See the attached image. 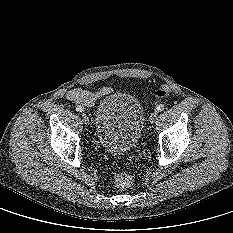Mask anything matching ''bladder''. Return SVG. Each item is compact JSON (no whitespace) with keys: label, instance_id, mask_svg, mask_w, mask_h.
Instances as JSON below:
<instances>
[{"label":"bladder","instance_id":"1","mask_svg":"<svg viewBox=\"0 0 233 233\" xmlns=\"http://www.w3.org/2000/svg\"><path fill=\"white\" fill-rule=\"evenodd\" d=\"M144 109L133 95L115 92L105 96L95 113V131L101 146L121 155L132 150L142 133Z\"/></svg>","mask_w":233,"mask_h":233}]
</instances>
